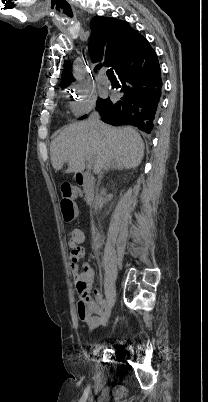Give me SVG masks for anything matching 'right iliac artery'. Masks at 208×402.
I'll use <instances>...</instances> for the list:
<instances>
[{"mask_svg":"<svg viewBox=\"0 0 208 402\" xmlns=\"http://www.w3.org/2000/svg\"><path fill=\"white\" fill-rule=\"evenodd\" d=\"M102 309H103V310H106V309H107L106 300H103V302H102Z\"/></svg>","mask_w":208,"mask_h":402,"instance_id":"obj_1","label":"right iliac artery"}]
</instances>
